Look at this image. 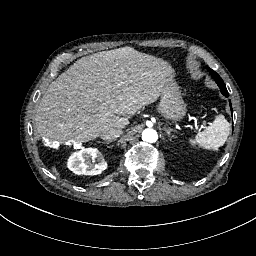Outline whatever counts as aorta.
<instances>
[{"label": "aorta", "mask_w": 256, "mask_h": 256, "mask_svg": "<svg viewBox=\"0 0 256 256\" xmlns=\"http://www.w3.org/2000/svg\"><path fill=\"white\" fill-rule=\"evenodd\" d=\"M144 133H146L145 139L143 138ZM142 140L145 142H149V143H155L158 140V134H157L156 130L151 129V128H147V129L143 130Z\"/></svg>", "instance_id": "1"}]
</instances>
